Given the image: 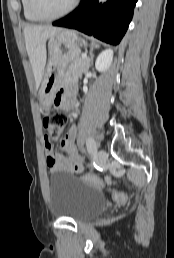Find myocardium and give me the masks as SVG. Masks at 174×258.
Masks as SVG:
<instances>
[{
    "label": "myocardium",
    "instance_id": "myocardium-1",
    "mask_svg": "<svg viewBox=\"0 0 174 258\" xmlns=\"http://www.w3.org/2000/svg\"><path fill=\"white\" fill-rule=\"evenodd\" d=\"M78 3H79V0H73L72 3L62 12L55 14V15H44L37 9V7L35 5V0H28V6H29L31 13L36 18H38L39 20H42V21H52V20H56V19L65 17L68 14H70L77 7Z\"/></svg>",
    "mask_w": 174,
    "mask_h": 258
}]
</instances>
